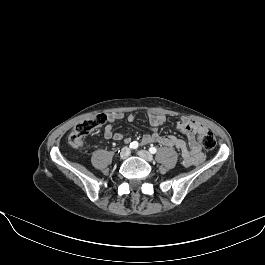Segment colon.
<instances>
[{"instance_id":"1","label":"colon","mask_w":265,"mask_h":265,"mask_svg":"<svg viewBox=\"0 0 265 265\" xmlns=\"http://www.w3.org/2000/svg\"><path fill=\"white\" fill-rule=\"evenodd\" d=\"M108 120L105 114H98L80 124H78L69 134L68 142L73 147H80L84 138ZM197 141L206 150H213L216 147V137L211 131H200L197 133Z\"/></svg>"}]
</instances>
